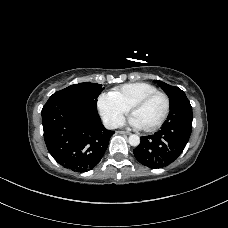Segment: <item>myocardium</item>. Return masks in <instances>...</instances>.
<instances>
[{
    "label": "myocardium",
    "instance_id": "f54148a6",
    "mask_svg": "<svg viewBox=\"0 0 228 228\" xmlns=\"http://www.w3.org/2000/svg\"><path fill=\"white\" fill-rule=\"evenodd\" d=\"M156 96H162L164 98L165 109H164V112H163L161 118L158 120L157 123H155L153 126H150L147 128H142V130L145 132H155L165 123V121L169 115L170 108H171V101H170L169 96L165 92L157 90L155 92H151V93L146 94L145 96L141 97L140 99L135 101L129 108V112H130V114H132L135 109L145 105L148 101H150L152 98H154Z\"/></svg>",
    "mask_w": 228,
    "mask_h": 228
}]
</instances>
